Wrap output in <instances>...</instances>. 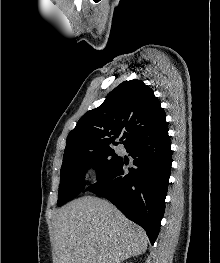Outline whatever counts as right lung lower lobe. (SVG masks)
Returning <instances> with one entry per match:
<instances>
[{"mask_svg":"<svg viewBox=\"0 0 220 263\" xmlns=\"http://www.w3.org/2000/svg\"><path fill=\"white\" fill-rule=\"evenodd\" d=\"M134 158L128 168L120 158L102 178L85 191L111 201L128 219L147 232L153 245L165 210L172 164L168 130L155 137L140 136L125 145Z\"/></svg>","mask_w":220,"mask_h":263,"instance_id":"1","label":"right lung lower lobe"}]
</instances>
